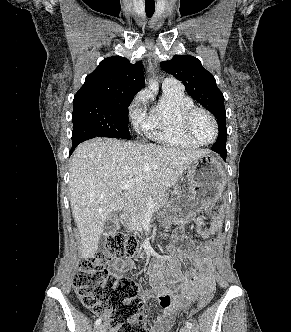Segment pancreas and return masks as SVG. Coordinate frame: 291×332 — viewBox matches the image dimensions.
I'll list each match as a JSON object with an SVG mask.
<instances>
[{"label":"pancreas","instance_id":"1","mask_svg":"<svg viewBox=\"0 0 291 332\" xmlns=\"http://www.w3.org/2000/svg\"><path fill=\"white\" fill-rule=\"evenodd\" d=\"M168 198L169 194L167 192H157L144 196L135 206L132 215L128 218L126 227L134 231L141 230V222L146 212H156L166 204ZM150 200L152 203L149 205L147 204V201Z\"/></svg>","mask_w":291,"mask_h":332}]
</instances>
